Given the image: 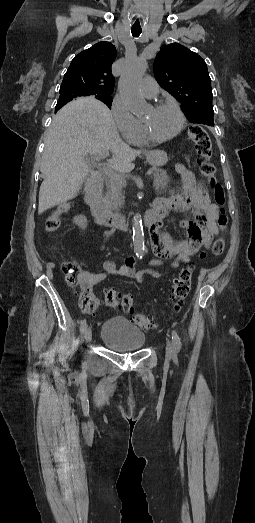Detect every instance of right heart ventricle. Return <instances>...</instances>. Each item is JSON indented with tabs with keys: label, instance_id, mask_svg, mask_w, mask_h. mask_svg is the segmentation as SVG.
Listing matches in <instances>:
<instances>
[{
	"label": "right heart ventricle",
	"instance_id": "obj_1",
	"mask_svg": "<svg viewBox=\"0 0 255 523\" xmlns=\"http://www.w3.org/2000/svg\"><path fill=\"white\" fill-rule=\"evenodd\" d=\"M129 141L133 144H141V143L145 142V140L143 139V137L141 135L140 123H139L138 127L136 128V130L129 137Z\"/></svg>",
	"mask_w": 255,
	"mask_h": 523
}]
</instances>
